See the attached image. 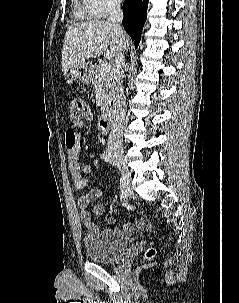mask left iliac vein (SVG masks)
<instances>
[{"label": "left iliac vein", "mask_w": 239, "mask_h": 303, "mask_svg": "<svg viewBox=\"0 0 239 303\" xmlns=\"http://www.w3.org/2000/svg\"><path fill=\"white\" fill-rule=\"evenodd\" d=\"M110 163H111L112 165H116V163L114 162L113 158H111Z\"/></svg>", "instance_id": "1"}]
</instances>
